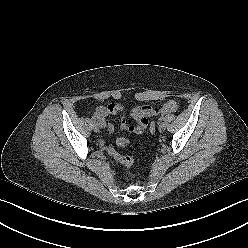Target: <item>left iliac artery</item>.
<instances>
[{
	"instance_id": "44dca946",
	"label": "left iliac artery",
	"mask_w": 248,
	"mask_h": 248,
	"mask_svg": "<svg viewBox=\"0 0 248 248\" xmlns=\"http://www.w3.org/2000/svg\"><path fill=\"white\" fill-rule=\"evenodd\" d=\"M159 120H160V121L164 120V117H163V116H162V117H160V118H159Z\"/></svg>"
}]
</instances>
